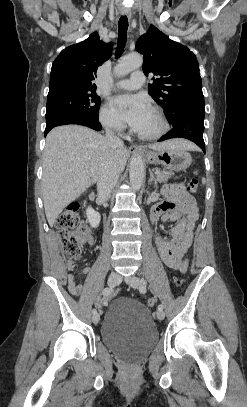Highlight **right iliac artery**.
Masks as SVG:
<instances>
[{"instance_id": "right-iliac-artery-1", "label": "right iliac artery", "mask_w": 247, "mask_h": 407, "mask_svg": "<svg viewBox=\"0 0 247 407\" xmlns=\"http://www.w3.org/2000/svg\"><path fill=\"white\" fill-rule=\"evenodd\" d=\"M113 292H114V287H107V288L103 289L102 294H103L104 296H109V295H111ZM96 313H97V310H96V309H93V310H92V314H96Z\"/></svg>"}]
</instances>
